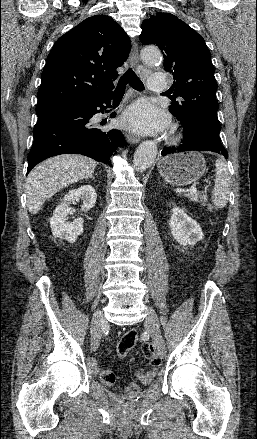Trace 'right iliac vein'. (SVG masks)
<instances>
[{"label":"right iliac vein","mask_w":257,"mask_h":439,"mask_svg":"<svg viewBox=\"0 0 257 439\" xmlns=\"http://www.w3.org/2000/svg\"><path fill=\"white\" fill-rule=\"evenodd\" d=\"M105 322L104 316L100 311L95 312L92 318V339H91V348L92 350H96L99 346L102 326Z\"/></svg>","instance_id":"obj_1"}]
</instances>
